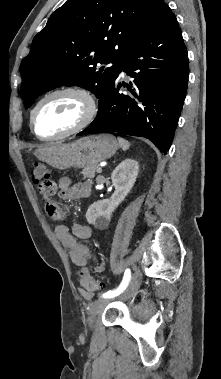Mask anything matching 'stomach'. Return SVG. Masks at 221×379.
<instances>
[{
    "mask_svg": "<svg viewBox=\"0 0 221 379\" xmlns=\"http://www.w3.org/2000/svg\"><path fill=\"white\" fill-rule=\"evenodd\" d=\"M119 147L114 136L91 135L69 143H54L36 151V156L56 169L96 166L110 158Z\"/></svg>",
    "mask_w": 221,
    "mask_h": 379,
    "instance_id": "obj_1",
    "label": "stomach"
}]
</instances>
